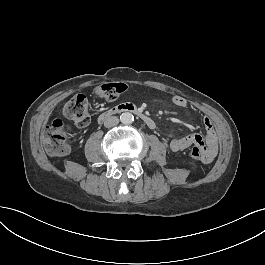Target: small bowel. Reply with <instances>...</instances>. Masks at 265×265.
<instances>
[{"mask_svg": "<svg viewBox=\"0 0 265 265\" xmlns=\"http://www.w3.org/2000/svg\"><path fill=\"white\" fill-rule=\"evenodd\" d=\"M172 102L179 108H187L189 105L187 99L182 96H174L172 98ZM202 123L205 129L206 144L209 149V159L205 163L209 164L214 160L217 154L216 136L212 121L208 117H203ZM198 140H200L202 145H205V142L200 135L189 134L183 137L172 139L169 143V147L172 151L178 152L189 148L191 145L197 143ZM207 146H204V151H207ZM205 156H208V152H205Z\"/></svg>", "mask_w": 265, "mask_h": 265, "instance_id": "small-bowel-1", "label": "small bowel"}]
</instances>
